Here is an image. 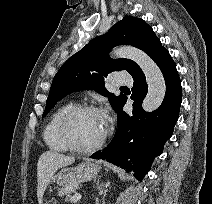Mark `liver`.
Listing matches in <instances>:
<instances>
[{
    "mask_svg": "<svg viewBox=\"0 0 212 204\" xmlns=\"http://www.w3.org/2000/svg\"><path fill=\"white\" fill-rule=\"evenodd\" d=\"M75 162L74 157L66 156L54 151H46L41 154L37 163V197L42 201L44 192L54 173L65 166Z\"/></svg>",
    "mask_w": 212,
    "mask_h": 204,
    "instance_id": "obj_1",
    "label": "liver"
}]
</instances>
